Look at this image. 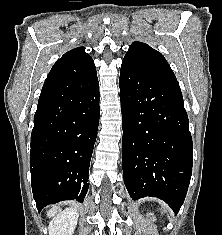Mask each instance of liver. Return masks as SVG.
<instances>
[{
	"label": "liver",
	"mask_w": 222,
	"mask_h": 235,
	"mask_svg": "<svg viewBox=\"0 0 222 235\" xmlns=\"http://www.w3.org/2000/svg\"><path fill=\"white\" fill-rule=\"evenodd\" d=\"M59 211H60V208L55 206L51 210L48 211L47 215H48V217H52L55 214H57Z\"/></svg>",
	"instance_id": "obj_1"
}]
</instances>
